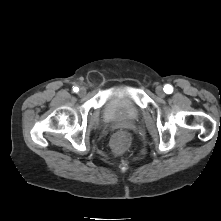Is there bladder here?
I'll use <instances>...</instances> for the list:
<instances>
[{"mask_svg":"<svg viewBox=\"0 0 221 221\" xmlns=\"http://www.w3.org/2000/svg\"><path fill=\"white\" fill-rule=\"evenodd\" d=\"M140 110L133 99L126 92H117L105 102L102 110L104 121L136 120Z\"/></svg>","mask_w":221,"mask_h":221,"instance_id":"31cf9c89","label":"bladder"}]
</instances>
